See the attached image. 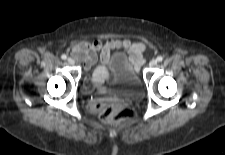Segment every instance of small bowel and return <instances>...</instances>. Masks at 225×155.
Masks as SVG:
<instances>
[{
    "label": "small bowel",
    "instance_id": "small-bowel-1",
    "mask_svg": "<svg viewBox=\"0 0 225 155\" xmlns=\"http://www.w3.org/2000/svg\"><path fill=\"white\" fill-rule=\"evenodd\" d=\"M144 49L145 46L142 42H131L127 38L107 42L84 40L73 46L72 55L77 61L83 63L85 70L95 66L99 60V65L93 71L92 80L94 85L103 88L110 78L107 64L112 51L121 50L127 52L130 65L135 69H139L143 62L142 53Z\"/></svg>",
    "mask_w": 225,
    "mask_h": 155
}]
</instances>
